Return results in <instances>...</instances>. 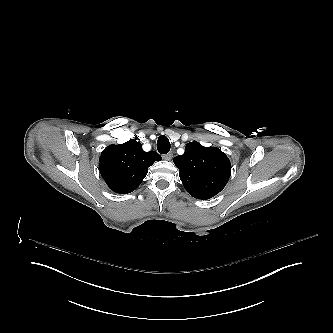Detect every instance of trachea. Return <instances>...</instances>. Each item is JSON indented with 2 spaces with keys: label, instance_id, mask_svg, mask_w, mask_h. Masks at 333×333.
Here are the masks:
<instances>
[{
  "label": "trachea",
  "instance_id": "obj_1",
  "mask_svg": "<svg viewBox=\"0 0 333 333\" xmlns=\"http://www.w3.org/2000/svg\"><path fill=\"white\" fill-rule=\"evenodd\" d=\"M157 149H158V152L161 153V154H166V153L169 152L170 142H169V139L166 136L161 135L158 138Z\"/></svg>",
  "mask_w": 333,
  "mask_h": 333
}]
</instances>
